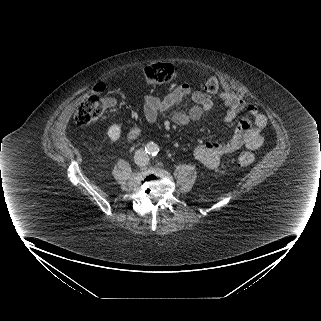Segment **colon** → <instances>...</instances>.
Segmentation results:
<instances>
[{
  "mask_svg": "<svg viewBox=\"0 0 321 321\" xmlns=\"http://www.w3.org/2000/svg\"><path fill=\"white\" fill-rule=\"evenodd\" d=\"M174 67L168 63L148 65L144 70L146 80L152 85H159L170 81L174 76ZM204 90L208 94H216L220 90L219 80L215 76L209 77L204 83ZM105 86L99 84L92 94L84 100L74 114V121L78 126L85 127L98 122L105 110ZM255 160L250 151H240L235 156V163L239 167H248Z\"/></svg>",
  "mask_w": 321,
  "mask_h": 321,
  "instance_id": "1",
  "label": "colon"
}]
</instances>
